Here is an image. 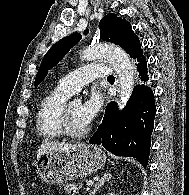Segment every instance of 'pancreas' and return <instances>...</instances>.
<instances>
[{
  "mask_svg": "<svg viewBox=\"0 0 189 195\" xmlns=\"http://www.w3.org/2000/svg\"><path fill=\"white\" fill-rule=\"evenodd\" d=\"M82 185L83 183H67L63 185V188L67 193H76L79 192Z\"/></svg>",
  "mask_w": 189,
  "mask_h": 195,
  "instance_id": "obj_1",
  "label": "pancreas"
}]
</instances>
